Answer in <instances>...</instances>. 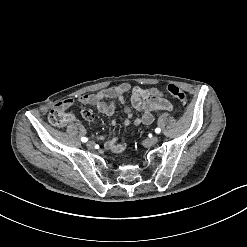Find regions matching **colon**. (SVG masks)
<instances>
[{
	"label": "colon",
	"instance_id": "5ec220e1",
	"mask_svg": "<svg viewBox=\"0 0 247 247\" xmlns=\"http://www.w3.org/2000/svg\"><path fill=\"white\" fill-rule=\"evenodd\" d=\"M167 92L177 100H179L182 104L187 105L188 104V96L187 93L182 90L179 86L176 84L170 83L166 86ZM72 114L73 112L67 113L66 111L61 112L56 109L51 110L48 119L50 123L56 127L63 126L67 122L72 121Z\"/></svg>",
	"mask_w": 247,
	"mask_h": 247
}]
</instances>
